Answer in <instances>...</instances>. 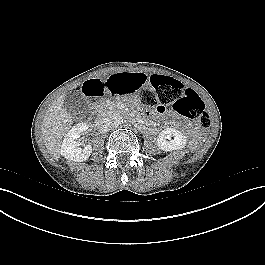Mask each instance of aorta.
<instances>
[{"label": "aorta", "mask_w": 265, "mask_h": 265, "mask_svg": "<svg viewBox=\"0 0 265 265\" xmlns=\"http://www.w3.org/2000/svg\"><path fill=\"white\" fill-rule=\"evenodd\" d=\"M111 121H112L113 125L118 126V125L123 124L124 118H123L122 114H120V113H114L111 116Z\"/></svg>", "instance_id": "762f6f07"}]
</instances>
